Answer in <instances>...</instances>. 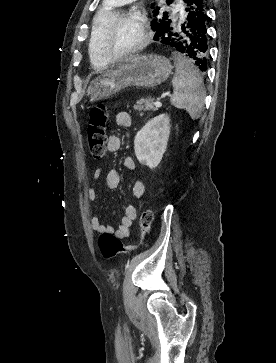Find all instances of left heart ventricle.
Listing matches in <instances>:
<instances>
[{"label":"left heart ventricle","instance_id":"obj_1","mask_svg":"<svg viewBox=\"0 0 276 363\" xmlns=\"http://www.w3.org/2000/svg\"><path fill=\"white\" fill-rule=\"evenodd\" d=\"M141 38V28L134 21H122L105 36L104 44L111 55H120L134 47Z\"/></svg>","mask_w":276,"mask_h":363}]
</instances>
